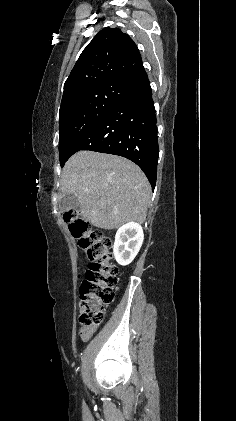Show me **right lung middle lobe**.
I'll return each instance as SVG.
<instances>
[{
  "instance_id": "dd1d6c3e",
  "label": "right lung middle lobe",
  "mask_w": 236,
  "mask_h": 421,
  "mask_svg": "<svg viewBox=\"0 0 236 421\" xmlns=\"http://www.w3.org/2000/svg\"><path fill=\"white\" fill-rule=\"evenodd\" d=\"M126 93L118 85L81 92L61 103L59 156L61 167L73 155L81 137L96 125Z\"/></svg>"
}]
</instances>
